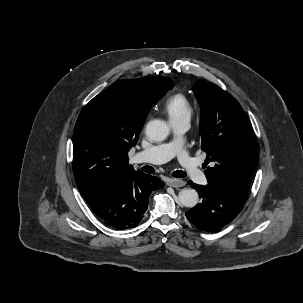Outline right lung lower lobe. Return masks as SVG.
<instances>
[{
  "label": "right lung lower lobe",
  "mask_w": 303,
  "mask_h": 303,
  "mask_svg": "<svg viewBox=\"0 0 303 303\" xmlns=\"http://www.w3.org/2000/svg\"><path fill=\"white\" fill-rule=\"evenodd\" d=\"M164 183L141 171L104 188L89 204L97 216L116 230L134 228L144 217L149 195Z\"/></svg>",
  "instance_id": "98d812e1"
}]
</instances>
